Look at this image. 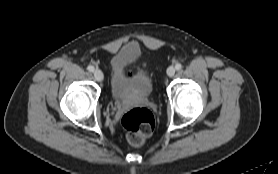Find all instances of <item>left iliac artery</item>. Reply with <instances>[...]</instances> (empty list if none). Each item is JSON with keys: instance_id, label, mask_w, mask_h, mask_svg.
Listing matches in <instances>:
<instances>
[{"instance_id": "left-iliac-artery-1", "label": "left iliac artery", "mask_w": 278, "mask_h": 174, "mask_svg": "<svg viewBox=\"0 0 278 174\" xmlns=\"http://www.w3.org/2000/svg\"><path fill=\"white\" fill-rule=\"evenodd\" d=\"M181 68H182V65H181L180 63H177V64L175 65V69H176V70H181Z\"/></svg>"}]
</instances>
